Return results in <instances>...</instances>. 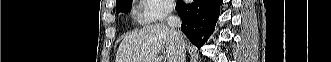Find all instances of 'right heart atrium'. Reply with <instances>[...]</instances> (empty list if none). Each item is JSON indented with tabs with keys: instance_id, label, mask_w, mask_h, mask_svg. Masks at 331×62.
I'll return each mask as SVG.
<instances>
[{
	"instance_id": "d8ad5b80",
	"label": "right heart atrium",
	"mask_w": 331,
	"mask_h": 62,
	"mask_svg": "<svg viewBox=\"0 0 331 62\" xmlns=\"http://www.w3.org/2000/svg\"><path fill=\"white\" fill-rule=\"evenodd\" d=\"M174 6L172 0L139 1L138 18L142 23H152L166 18Z\"/></svg>"
}]
</instances>
